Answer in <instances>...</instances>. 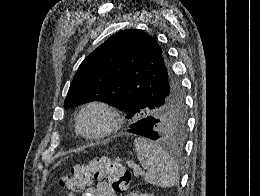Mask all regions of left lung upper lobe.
<instances>
[{
    "mask_svg": "<svg viewBox=\"0 0 260 196\" xmlns=\"http://www.w3.org/2000/svg\"><path fill=\"white\" fill-rule=\"evenodd\" d=\"M95 100L119 108L132 122L153 119L155 140L183 146L187 115L180 82L166 50L143 31L112 35L81 63L64 107Z\"/></svg>",
    "mask_w": 260,
    "mask_h": 196,
    "instance_id": "1",
    "label": "left lung upper lobe"
}]
</instances>
